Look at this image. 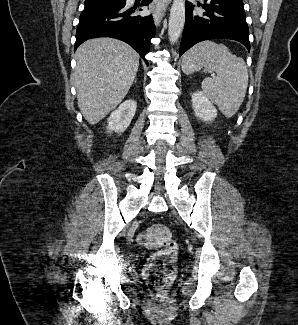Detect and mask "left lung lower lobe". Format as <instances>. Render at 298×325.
<instances>
[{"instance_id":"1","label":"left lung lower lobe","mask_w":298,"mask_h":325,"mask_svg":"<svg viewBox=\"0 0 298 325\" xmlns=\"http://www.w3.org/2000/svg\"><path fill=\"white\" fill-rule=\"evenodd\" d=\"M204 1L202 7L206 11L203 14L193 13L194 5L186 3L185 27L179 55L196 43L209 39L236 40L250 51L249 29L242 0Z\"/></svg>"}]
</instances>
